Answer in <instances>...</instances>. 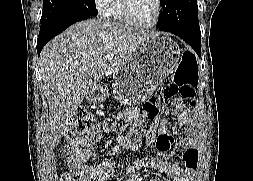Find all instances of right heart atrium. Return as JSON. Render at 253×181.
I'll list each match as a JSON object with an SVG mask.
<instances>
[{
	"mask_svg": "<svg viewBox=\"0 0 253 181\" xmlns=\"http://www.w3.org/2000/svg\"><path fill=\"white\" fill-rule=\"evenodd\" d=\"M115 0H93V5L97 13L104 19H108L113 10Z\"/></svg>",
	"mask_w": 253,
	"mask_h": 181,
	"instance_id": "obj_1",
	"label": "right heart atrium"
}]
</instances>
